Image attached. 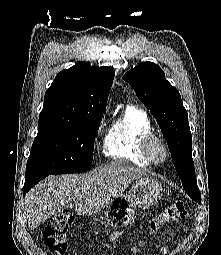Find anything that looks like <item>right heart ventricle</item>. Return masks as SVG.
<instances>
[{
    "instance_id": "e07e8e85",
    "label": "right heart ventricle",
    "mask_w": 221,
    "mask_h": 255,
    "mask_svg": "<svg viewBox=\"0 0 221 255\" xmlns=\"http://www.w3.org/2000/svg\"><path fill=\"white\" fill-rule=\"evenodd\" d=\"M152 133L153 125L147 112L128 105L111 120L103 139V154L112 160L149 166L151 163L141 151V142Z\"/></svg>"
}]
</instances>
